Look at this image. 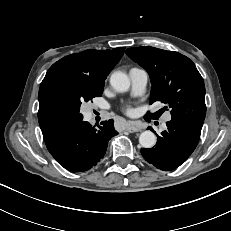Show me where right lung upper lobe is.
<instances>
[{
    "mask_svg": "<svg viewBox=\"0 0 231 231\" xmlns=\"http://www.w3.org/2000/svg\"><path fill=\"white\" fill-rule=\"evenodd\" d=\"M124 47L113 50H85L66 56L47 71L38 94V120L44 140L76 120L58 99L60 89L74 81L105 84V79L124 54Z\"/></svg>",
    "mask_w": 231,
    "mask_h": 231,
    "instance_id": "obj_1",
    "label": "right lung upper lobe"
}]
</instances>
